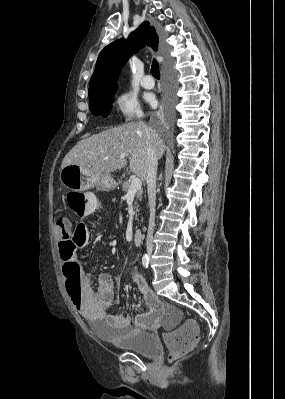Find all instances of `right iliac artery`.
Returning <instances> with one entry per match:
<instances>
[{"label": "right iliac artery", "mask_w": 285, "mask_h": 399, "mask_svg": "<svg viewBox=\"0 0 285 399\" xmlns=\"http://www.w3.org/2000/svg\"><path fill=\"white\" fill-rule=\"evenodd\" d=\"M142 264L145 268H148V264H149V257L147 254H145L142 258Z\"/></svg>", "instance_id": "82829eb1"}]
</instances>
